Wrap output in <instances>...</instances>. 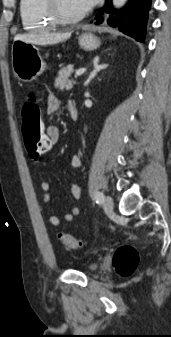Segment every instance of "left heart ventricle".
Listing matches in <instances>:
<instances>
[{
    "label": "left heart ventricle",
    "instance_id": "obj_1",
    "mask_svg": "<svg viewBox=\"0 0 171 337\" xmlns=\"http://www.w3.org/2000/svg\"><path fill=\"white\" fill-rule=\"evenodd\" d=\"M60 6L67 15H77L84 10L80 7L76 0H60Z\"/></svg>",
    "mask_w": 171,
    "mask_h": 337
}]
</instances>
